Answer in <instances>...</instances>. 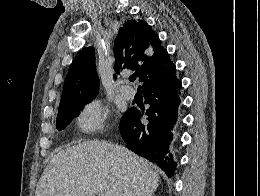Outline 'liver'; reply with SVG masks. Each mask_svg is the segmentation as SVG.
<instances>
[{"label":"liver","instance_id":"obj_1","mask_svg":"<svg viewBox=\"0 0 260 196\" xmlns=\"http://www.w3.org/2000/svg\"><path fill=\"white\" fill-rule=\"evenodd\" d=\"M160 182L152 164L124 146L82 142L66 146L53 156L36 188L35 196H154Z\"/></svg>","mask_w":260,"mask_h":196}]
</instances>
